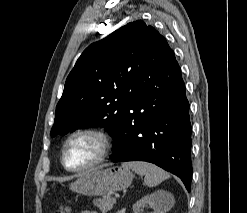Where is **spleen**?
I'll list each match as a JSON object with an SVG mask.
<instances>
[{
    "instance_id": "spleen-1",
    "label": "spleen",
    "mask_w": 247,
    "mask_h": 213,
    "mask_svg": "<svg viewBox=\"0 0 247 213\" xmlns=\"http://www.w3.org/2000/svg\"><path fill=\"white\" fill-rule=\"evenodd\" d=\"M125 169H131L137 174L144 176V183L153 187L166 180L170 175L158 166L142 161L125 162L122 164Z\"/></svg>"
}]
</instances>
